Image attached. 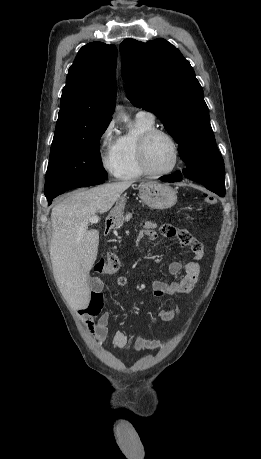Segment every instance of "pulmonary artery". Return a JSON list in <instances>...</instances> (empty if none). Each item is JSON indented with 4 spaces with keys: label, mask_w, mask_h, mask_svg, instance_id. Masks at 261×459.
<instances>
[{
    "label": "pulmonary artery",
    "mask_w": 261,
    "mask_h": 459,
    "mask_svg": "<svg viewBox=\"0 0 261 459\" xmlns=\"http://www.w3.org/2000/svg\"><path fill=\"white\" fill-rule=\"evenodd\" d=\"M136 117L139 118H148V119H154V115L151 112L141 110L136 114Z\"/></svg>",
    "instance_id": "1"
}]
</instances>
